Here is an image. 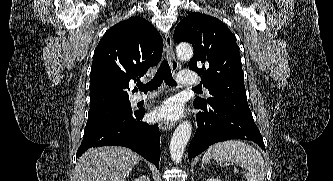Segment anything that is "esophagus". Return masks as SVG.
I'll use <instances>...</instances> for the list:
<instances>
[{
    "mask_svg": "<svg viewBox=\"0 0 333 181\" xmlns=\"http://www.w3.org/2000/svg\"><path fill=\"white\" fill-rule=\"evenodd\" d=\"M165 51H166V55H167L171 70L173 72H176L178 69V62L176 61V58L174 55L172 37L169 33L165 35ZM159 127L162 130H171L174 127V123L170 122V121L160 120Z\"/></svg>",
    "mask_w": 333,
    "mask_h": 181,
    "instance_id": "34e87169",
    "label": "esophagus"
}]
</instances>
